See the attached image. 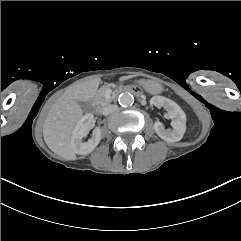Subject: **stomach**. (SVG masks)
<instances>
[{
  "label": "stomach",
  "instance_id": "0dacf381",
  "mask_svg": "<svg viewBox=\"0 0 241 241\" xmlns=\"http://www.w3.org/2000/svg\"><path fill=\"white\" fill-rule=\"evenodd\" d=\"M140 83L149 93L159 94L163 91V86L159 82L151 80H141Z\"/></svg>",
  "mask_w": 241,
  "mask_h": 241
}]
</instances>
